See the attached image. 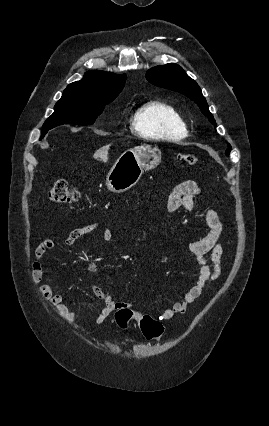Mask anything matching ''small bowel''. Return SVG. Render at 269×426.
I'll return each mask as SVG.
<instances>
[{
  "instance_id": "obj_1",
  "label": "small bowel",
  "mask_w": 269,
  "mask_h": 426,
  "mask_svg": "<svg viewBox=\"0 0 269 426\" xmlns=\"http://www.w3.org/2000/svg\"><path fill=\"white\" fill-rule=\"evenodd\" d=\"M200 193V189L194 181H184L177 185L167 198V210L170 213H175L179 209L184 208L187 211L196 209V196ZM201 219L209 228V233L201 238L190 242L187 246V253L198 264V274L185 293L182 300L173 303L169 308L158 314L157 318L162 321H168L178 314L186 312L188 306L194 303L215 280L218 279L221 273V258L223 247L219 243V238L223 232V224L218 214L211 209L205 210L201 214ZM100 227L99 223H91L89 225L73 229L65 238L66 246L74 245L78 239ZM112 239V232L104 228L102 232V240L109 242ZM55 242L52 239H45L41 242L34 253L32 262L33 281L39 285V290L42 296L53 305L59 314L65 316L68 314L67 299L59 293H55L51 285V278L45 271L43 259L47 252L53 250ZM210 258L207 259L206 255ZM87 269L91 273H96L98 266L94 262L87 265ZM44 284H41L42 281ZM93 292L98 299L104 303V307L95 317V322L101 324L118 308L130 306L127 302L115 301L101 287L94 285ZM143 314L134 312L133 320L139 322Z\"/></svg>"
}]
</instances>
